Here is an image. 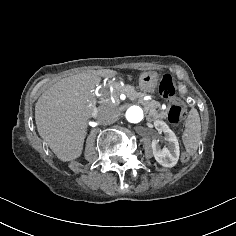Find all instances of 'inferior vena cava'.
I'll list each match as a JSON object with an SVG mask.
<instances>
[{"instance_id": "obj_1", "label": "inferior vena cava", "mask_w": 236, "mask_h": 236, "mask_svg": "<svg viewBox=\"0 0 236 236\" xmlns=\"http://www.w3.org/2000/svg\"><path fill=\"white\" fill-rule=\"evenodd\" d=\"M93 116L97 118L98 122H102V119H100V116L102 117V114L99 116V111H94Z\"/></svg>"}]
</instances>
